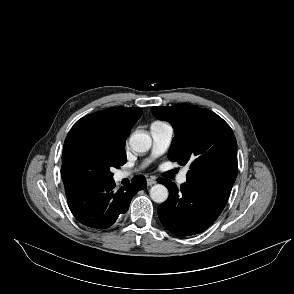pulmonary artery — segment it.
<instances>
[{"instance_id": "1", "label": "pulmonary artery", "mask_w": 294, "mask_h": 294, "mask_svg": "<svg viewBox=\"0 0 294 294\" xmlns=\"http://www.w3.org/2000/svg\"><path fill=\"white\" fill-rule=\"evenodd\" d=\"M173 127L166 122H154L150 126L152 137V157L163 154L169 147L173 137ZM131 175V171L123 170L117 175V179L126 178ZM187 180V169H184L177 177L178 184H184Z\"/></svg>"}]
</instances>
